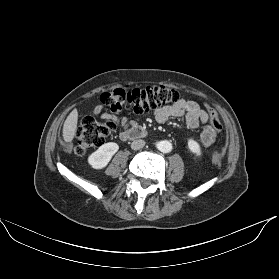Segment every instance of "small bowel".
<instances>
[{
    "instance_id": "obj_1",
    "label": "small bowel",
    "mask_w": 279,
    "mask_h": 279,
    "mask_svg": "<svg viewBox=\"0 0 279 279\" xmlns=\"http://www.w3.org/2000/svg\"><path fill=\"white\" fill-rule=\"evenodd\" d=\"M103 105H99L94 109V114L101 116L102 119L108 117L107 113H102ZM154 117L158 123H165L170 118L185 117L186 123L190 128H197L200 124H206L209 115L198 103L192 100L180 99L172 105L158 107L154 111ZM122 130L119 133L121 139L129 129L136 127L134 121L122 117L120 120ZM216 132L211 128V124H207L200 135V142L204 147L210 146L215 140Z\"/></svg>"
}]
</instances>
